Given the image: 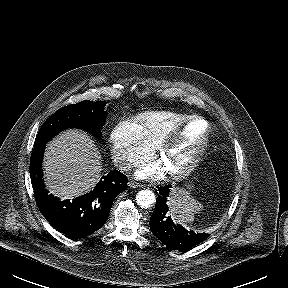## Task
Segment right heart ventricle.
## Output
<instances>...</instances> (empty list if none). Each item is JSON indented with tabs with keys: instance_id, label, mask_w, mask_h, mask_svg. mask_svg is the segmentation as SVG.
Here are the masks:
<instances>
[{
	"instance_id": "e07e8e85",
	"label": "right heart ventricle",
	"mask_w": 288,
	"mask_h": 288,
	"mask_svg": "<svg viewBox=\"0 0 288 288\" xmlns=\"http://www.w3.org/2000/svg\"><path fill=\"white\" fill-rule=\"evenodd\" d=\"M189 116L174 111H150L139 115L137 121L146 140L155 148L164 134Z\"/></svg>"
}]
</instances>
